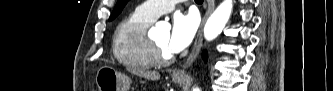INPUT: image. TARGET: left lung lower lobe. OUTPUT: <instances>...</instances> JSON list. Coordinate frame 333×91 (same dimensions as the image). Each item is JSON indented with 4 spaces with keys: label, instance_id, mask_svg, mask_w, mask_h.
<instances>
[{
    "label": "left lung lower lobe",
    "instance_id": "1",
    "mask_svg": "<svg viewBox=\"0 0 333 91\" xmlns=\"http://www.w3.org/2000/svg\"><path fill=\"white\" fill-rule=\"evenodd\" d=\"M203 57L206 58V54L205 53H204Z\"/></svg>",
    "mask_w": 333,
    "mask_h": 91
}]
</instances>
